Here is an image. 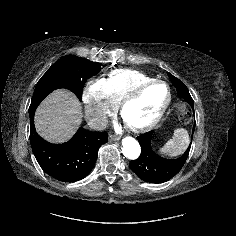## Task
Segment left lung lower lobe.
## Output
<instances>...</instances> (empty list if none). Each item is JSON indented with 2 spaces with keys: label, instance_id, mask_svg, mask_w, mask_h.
I'll list each match as a JSON object with an SVG mask.
<instances>
[{
  "label": "left lung lower lobe",
  "instance_id": "left-lung-lower-lobe-1",
  "mask_svg": "<svg viewBox=\"0 0 236 236\" xmlns=\"http://www.w3.org/2000/svg\"><path fill=\"white\" fill-rule=\"evenodd\" d=\"M184 99V98H183ZM193 108V99H184ZM195 124L193 127V132ZM153 131L137 137L140 146V156L130 161L131 170L142 180L150 183H163L173 178L183 167L188 157L191 144L186 152L177 159H167L158 155L151 145Z\"/></svg>",
  "mask_w": 236,
  "mask_h": 236
}]
</instances>
